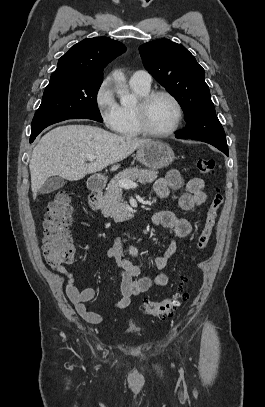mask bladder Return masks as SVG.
<instances>
[{"label": "bladder", "instance_id": "obj_1", "mask_svg": "<svg viewBox=\"0 0 265 407\" xmlns=\"http://www.w3.org/2000/svg\"><path fill=\"white\" fill-rule=\"evenodd\" d=\"M129 331L135 332V331H136V327H130V328H129Z\"/></svg>", "mask_w": 265, "mask_h": 407}]
</instances>
